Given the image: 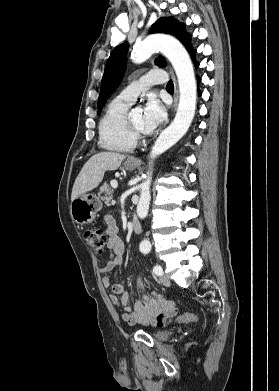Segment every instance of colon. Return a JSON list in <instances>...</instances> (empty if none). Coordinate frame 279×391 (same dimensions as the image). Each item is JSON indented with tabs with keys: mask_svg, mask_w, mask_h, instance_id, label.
I'll use <instances>...</instances> for the list:
<instances>
[{
	"mask_svg": "<svg viewBox=\"0 0 279 391\" xmlns=\"http://www.w3.org/2000/svg\"><path fill=\"white\" fill-rule=\"evenodd\" d=\"M86 243L96 252L103 253L106 248L107 234L101 228H90L84 232ZM178 320L183 322H195L197 316L192 313H185L178 317Z\"/></svg>",
	"mask_w": 279,
	"mask_h": 391,
	"instance_id": "5ec220e1",
	"label": "colon"
}]
</instances>
